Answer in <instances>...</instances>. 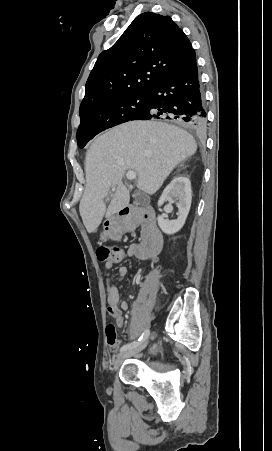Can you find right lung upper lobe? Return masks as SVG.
<instances>
[{
  "label": "right lung upper lobe",
  "mask_w": 272,
  "mask_h": 451,
  "mask_svg": "<svg viewBox=\"0 0 272 451\" xmlns=\"http://www.w3.org/2000/svg\"><path fill=\"white\" fill-rule=\"evenodd\" d=\"M193 52L189 39L169 16L139 15L118 41L99 55L79 113L109 100L148 94Z\"/></svg>",
  "instance_id": "right-lung-upper-lobe-1"
}]
</instances>
